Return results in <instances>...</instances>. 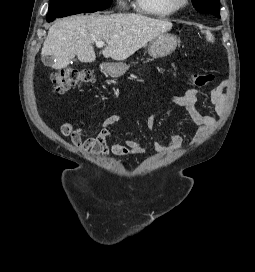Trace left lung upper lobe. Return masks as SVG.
<instances>
[{
	"mask_svg": "<svg viewBox=\"0 0 255 272\" xmlns=\"http://www.w3.org/2000/svg\"><path fill=\"white\" fill-rule=\"evenodd\" d=\"M194 8L201 13L213 14L220 18L219 0H192Z\"/></svg>",
	"mask_w": 255,
	"mask_h": 272,
	"instance_id": "obj_1",
	"label": "left lung upper lobe"
}]
</instances>
